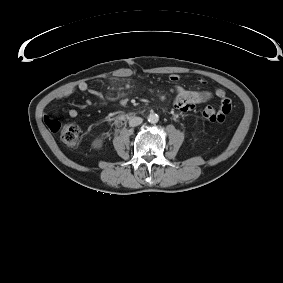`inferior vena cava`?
I'll return each instance as SVG.
<instances>
[{
  "label": "inferior vena cava",
  "instance_id": "obj_1",
  "mask_svg": "<svg viewBox=\"0 0 283 283\" xmlns=\"http://www.w3.org/2000/svg\"><path fill=\"white\" fill-rule=\"evenodd\" d=\"M142 122H143V119L141 117H132L129 120V125L131 127H135V126L140 125Z\"/></svg>",
  "mask_w": 283,
  "mask_h": 283
}]
</instances>
